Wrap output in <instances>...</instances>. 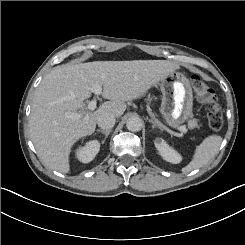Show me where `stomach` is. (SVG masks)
<instances>
[{
	"label": "stomach",
	"mask_w": 245,
	"mask_h": 245,
	"mask_svg": "<svg viewBox=\"0 0 245 245\" xmlns=\"http://www.w3.org/2000/svg\"><path fill=\"white\" fill-rule=\"evenodd\" d=\"M158 84L163 94L160 112L168 123L177 126L192 117V88L182 73H169Z\"/></svg>",
	"instance_id": "obj_1"
}]
</instances>
